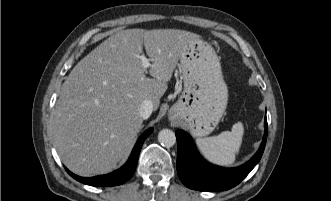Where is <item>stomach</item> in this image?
Returning <instances> with one entry per match:
<instances>
[{
  "label": "stomach",
  "mask_w": 331,
  "mask_h": 201,
  "mask_svg": "<svg viewBox=\"0 0 331 201\" xmlns=\"http://www.w3.org/2000/svg\"><path fill=\"white\" fill-rule=\"evenodd\" d=\"M180 68L184 90L170 118L184 124L194 137L207 136L218 125L228 101L219 58L210 44L195 39L181 54Z\"/></svg>",
  "instance_id": "stomach-1"
}]
</instances>
